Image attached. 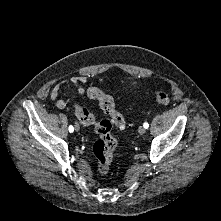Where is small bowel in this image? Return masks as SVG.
I'll use <instances>...</instances> for the list:
<instances>
[{"instance_id": "obj_1", "label": "small bowel", "mask_w": 221, "mask_h": 221, "mask_svg": "<svg viewBox=\"0 0 221 221\" xmlns=\"http://www.w3.org/2000/svg\"><path fill=\"white\" fill-rule=\"evenodd\" d=\"M88 81H89V78L86 75L71 77L70 79L64 81L62 84L54 87V89L52 90V92L50 94V97H51L52 101H54V103L57 107H63L67 101L64 99H57L62 85L74 86L76 88V94L78 96H81V95L85 94V92H86L83 84L87 83ZM135 84H136V82H134V81L130 83V85H135ZM88 90H87V93H88Z\"/></svg>"}]
</instances>
